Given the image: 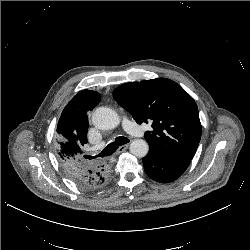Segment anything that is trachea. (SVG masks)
I'll list each match as a JSON object with an SVG mask.
<instances>
[{"label": "trachea", "mask_w": 250, "mask_h": 250, "mask_svg": "<svg viewBox=\"0 0 250 250\" xmlns=\"http://www.w3.org/2000/svg\"><path fill=\"white\" fill-rule=\"evenodd\" d=\"M130 140L124 136H120L115 138V140L113 142H111L109 145H107L104 150L98 155L102 158L104 157H108L110 155H112L119 146H122L126 143H128Z\"/></svg>", "instance_id": "1"}]
</instances>
